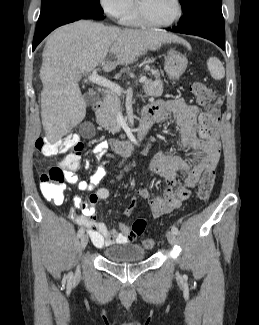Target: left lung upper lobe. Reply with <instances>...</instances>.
Returning <instances> with one entry per match:
<instances>
[{
  "label": "left lung upper lobe",
  "mask_w": 259,
  "mask_h": 325,
  "mask_svg": "<svg viewBox=\"0 0 259 325\" xmlns=\"http://www.w3.org/2000/svg\"><path fill=\"white\" fill-rule=\"evenodd\" d=\"M183 8V19L179 23L185 22L198 10L203 8H213L221 10L222 0H179Z\"/></svg>",
  "instance_id": "left-lung-upper-lobe-1"
}]
</instances>
